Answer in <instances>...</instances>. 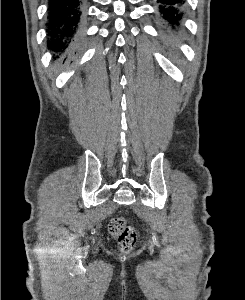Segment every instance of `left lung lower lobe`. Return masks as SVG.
I'll return each mask as SVG.
<instances>
[{"instance_id":"left-lung-lower-lobe-1","label":"left lung lower lobe","mask_w":245,"mask_h":300,"mask_svg":"<svg viewBox=\"0 0 245 300\" xmlns=\"http://www.w3.org/2000/svg\"><path fill=\"white\" fill-rule=\"evenodd\" d=\"M158 2H160L159 8L164 25L169 31H175L182 18L184 0H158Z\"/></svg>"}]
</instances>
